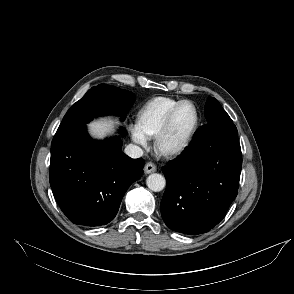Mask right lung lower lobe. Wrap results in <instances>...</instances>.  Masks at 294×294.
Here are the masks:
<instances>
[{"instance_id": "right-lung-lower-lobe-1", "label": "right lung lower lobe", "mask_w": 294, "mask_h": 294, "mask_svg": "<svg viewBox=\"0 0 294 294\" xmlns=\"http://www.w3.org/2000/svg\"><path fill=\"white\" fill-rule=\"evenodd\" d=\"M117 89L100 84L87 93L95 103L111 106ZM121 147L117 136L93 140L85 124L56 132L49 180L57 203L74 224L99 226L112 221L128 187L141 177L144 160L131 159Z\"/></svg>"}]
</instances>
